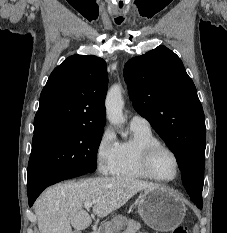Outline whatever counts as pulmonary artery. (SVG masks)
Listing matches in <instances>:
<instances>
[{
  "label": "pulmonary artery",
  "mask_w": 227,
  "mask_h": 233,
  "mask_svg": "<svg viewBox=\"0 0 227 233\" xmlns=\"http://www.w3.org/2000/svg\"><path fill=\"white\" fill-rule=\"evenodd\" d=\"M130 127L143 130H151L150 123L140 115H133L130 119Z\"/></svg>",
  "instance_id": "obj_1"
}]
</instances>
